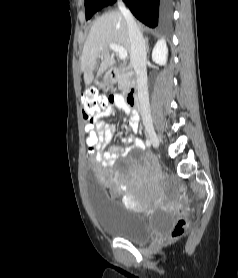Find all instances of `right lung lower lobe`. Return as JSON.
Listing matches in <instances>:
<instances>
[{"label": "right lung lower lobe", "instance_id": "1", "mask_svg": "<svg viewBox=\"0 0 238 278\" xmlns=\"http://www.w3.org/2000/svg\"><path fill=\"white\" fill-rule=\"evenodd\" d=\"M115 0H106L102 5H109ZM133 13V15L146 24L147 26L154 28L158 25V16L163 20L167 17V11L171 0H123ZM100 8V9H101ZM99 9V10H100Z\"/></svg>", "mask_w": 238, "mask_h": 278}]
</instances>
